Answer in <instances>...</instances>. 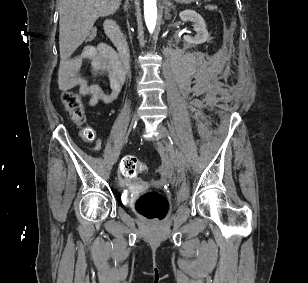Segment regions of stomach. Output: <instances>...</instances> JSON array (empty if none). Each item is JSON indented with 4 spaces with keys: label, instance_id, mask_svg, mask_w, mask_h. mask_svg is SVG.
<instances>
[{
    "label": "stomach",
    "instance_id": "obj_1",
    "mask_svg": "<svg viewBox=\"0 0 308 283\" xmlns=\"http://www.w3.org/2000/svg\"><path fill=\"white\" fill-rule=\"evenodd\" d=\"M177 2L179 3H191V2H194L196 0H176Z\"/></svg>",
    "mask_w": 308,
    "mask_h": 283
}]
</instances>
